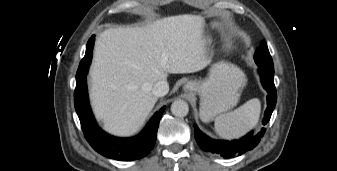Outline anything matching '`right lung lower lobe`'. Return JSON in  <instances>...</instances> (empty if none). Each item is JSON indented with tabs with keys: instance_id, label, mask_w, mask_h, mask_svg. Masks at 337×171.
<instances>
[{
	"instance_id": "98d812e1",
	"label": "right lung lower lobe",
	"mask_w": 337,
	"mask_h": 171,
	"mask_svg": "<svg viewBox=\"0 0 337 171\" xmlns=\"http://www.w3.org/2000/svg\"><path fill=\"white\" fill-rule=\"evenodd\" d=\"M93 46L94 36L89 39L85 56L79 64L74 93L75 109L85 138L95 151L108 158L124 161L141 159L147 156L154 147L159 121L165 107L154 114L145 129L136 137L116 138L101 130L92 115L86 86V75L92 58Z\"/></svg>"
}]
</instances>
